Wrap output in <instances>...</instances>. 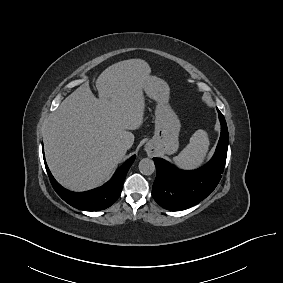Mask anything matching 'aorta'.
Segmentation results:
<instances>
[{"instance_id": "762f6f07", "label": "aorta", "mask_w": 283, "mask_h": 283, "mask_svg": "<svg viewBox=\"0 0 283 283\" xmlns=\"http://www.w3.org/2000/svg\"><path fill=\"white\" fill-rule=\"evenodd\" d=\"M139 171L141 172V174L143 175H151L154 173L155 171V165L153 160L149 159V158H143L140 162H139Z\"/></svg>"}]
</instances>
